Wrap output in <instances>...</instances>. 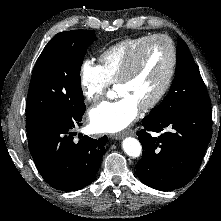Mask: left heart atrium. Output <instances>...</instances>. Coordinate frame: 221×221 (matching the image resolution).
<instances>
[{"label":"left heart atrium","instance_id":"obj_1","mask_svg":"<svg viewBox=\"0 0 221 221\" xmlns=\"http://www.w3.org/2000/svg\"><path fill=\"white\" fill-rule=\"evenodd\" d=\"M139 108L129 96H121L112 102H103L90 110L91 125L98 132H119L136 119Z\"/></svg>","mask_w":221,"mask_h":221}]
</instances>
